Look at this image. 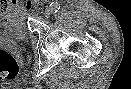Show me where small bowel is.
Here are the masks:
<instances>
[{"instance_id": "small-bowel-1", "label": "small bowel", "mask_w": 131, "mask_h": 89, "mask_svg": "<svg viewBox=\"0 0 131 89\" xmlns=\"http://www.w3.org/2000/svg\"><path fill=\"white\" fill-rule=\"evenodd\" d=\"M12 6L13 7H18V4L17 3H12ZM33 6V2L31 0L27 1L25 6H23L22 8L26 9V10H29L31 9Z\"/></svg>"}]
</instances>
